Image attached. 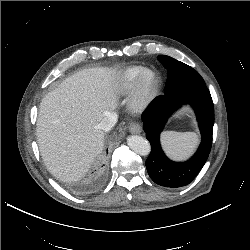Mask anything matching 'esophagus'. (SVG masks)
Segmentation results:
<instances>
[{"instance_id": "obj_1", "label": "esophagus", "mask_w": 250, "mask_h": 250, "mask_svg": "<svg viewBox=\"0 0 250 250\" xmlns=\"http://www.w3.org/2000/svg\"><path fill=\"white\" fill-rule=\"evenodd\" d=\"M129 131L133 134H139L142 131V127L139 123H131L129 126Z\"/></svg>"}]
</instances>
